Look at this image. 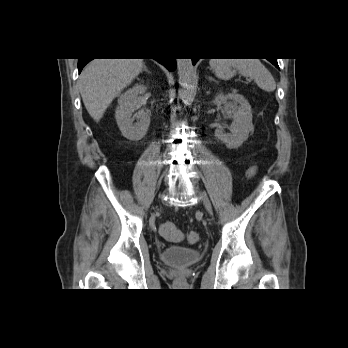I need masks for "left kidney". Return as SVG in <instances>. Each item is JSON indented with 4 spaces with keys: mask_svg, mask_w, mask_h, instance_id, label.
<instances>
[{
    "mask_svg": "<svg viewBox=\"0 0 348 348\" xmlns=\"http://www.w3.org/2000/svg\"><path fill=\"white\" fill-rule=\"evenodd\" d=\"M215 105L225 104L226 113L235 120V125L230 129L231 133H225L219 126L215 130V136L229 149L240 147L247 140L250 131L254 129L252 124V110L243 95L236 92L227 95L218 94L213 100Z\"/></svg>",
    "mask_w": 348,
    "mask_h": 348,
    "instance_id": "left-kidney-1",
    "label": "left kidney"
}]
</instances>
